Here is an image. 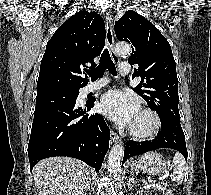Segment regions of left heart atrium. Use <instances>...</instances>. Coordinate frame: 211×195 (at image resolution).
I'll return each mask as SVG.
<instances>
[{
	"label": "left heart atrium",
	"mask_w": 211,
	"mask_h": 195,
	"mask_svg": "<svg viewBox=\"0 0 211 195\" xmlns=\"http://www.w3.org/2000/svg\"><path fill=\"white\" fill-rule=\"evenodd\" d=\"M100 111L120 125H132L139 111L137 99L130 93L111 90L105 93L99 104Z\"/></svg>",
	"instance_id": "39dd6f15"
}]
</instances>
